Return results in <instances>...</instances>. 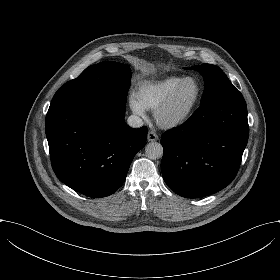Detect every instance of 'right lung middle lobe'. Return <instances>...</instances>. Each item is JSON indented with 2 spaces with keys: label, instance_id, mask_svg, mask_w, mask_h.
Segmentation results:
<instances>
[{
  "label": "right lung middle lobe",
  "instance_id": "dd1d6c3e",
  "mask_svg": "<svg viewBox=\"0 0 280 280\" xmlns=\"http://www.w3.org/2000/svg\"><path fill=\"white\" fill-rule=\"evenodd\" d=\"M130 66L105 61L86 68L76 79L68 81L59 90L87 92L125 106L130 87Z\"/></svg>",
  "mask_w": 280,
  "mask_h": 280
}]
</instances>
